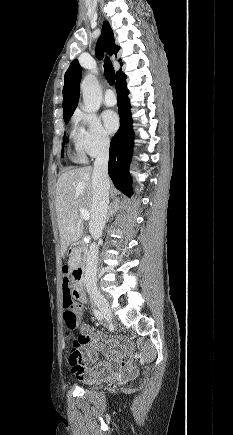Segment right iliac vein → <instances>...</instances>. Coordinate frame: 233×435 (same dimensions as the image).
<instances>
[{"instance_id": "1", "label": "right iliac vein", "mask_w": 233, "mask_h": 435, "mask_svg": "<svg viewBox=\"0 0 233 435\" xmlns=\"http://www.w3.org/2000/svg\"><path fill=\"white\" fill-rule=\"evenodd\" d=\"M91 297L97 307L100 309L102 314L106 317V319L110 322L112 319L111 310L109 307V303L106 298L99 292H92Z\"/></svg>"}]
</instances>
